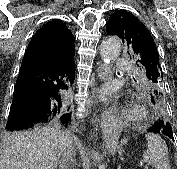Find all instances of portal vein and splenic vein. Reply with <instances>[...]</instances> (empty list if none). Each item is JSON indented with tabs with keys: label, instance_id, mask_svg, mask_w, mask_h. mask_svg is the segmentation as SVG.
Listing matches in <instances>:
<instances>
[{
	"label": "portal vein and splenic vein",
	"instance_id": "18ae733b",
	"mask_svg": "<svg viewBox=\"0 0 177 169\" xmlns=\"http://www.w3.org/2000/svg\"><path fill=\"white\" fill-rule=\"evenodd\" d=\"M144 168H145V169H148V165L146 164V165L144 166Z\"/></svg>",
	"mask_w": 177,
	"mask_h": 169
}]
</instances>
